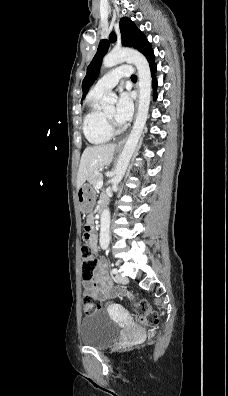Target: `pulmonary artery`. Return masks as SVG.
<instances>
[{"mask_svg":"<svg viewBox=\"0 0 228 396\" xmlns=\"http://www.w3.org/2000/svg\"><path fill=\"white\" fill-rule=\"evenodd\" d=\"M130 75L131 68L128 65L119 66L102 76L94 85L92 92L102 95L103 93L115 87L121 78L129 77Z\"/></svg>","mask_w":228,"mask_h":396,"instance_id":"pulmonary-artery-1","label":"pulmonary artery"}]
</instances>
